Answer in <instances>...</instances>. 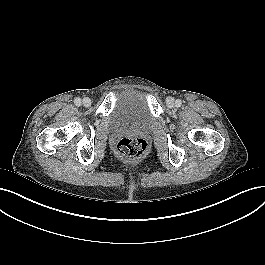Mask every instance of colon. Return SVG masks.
Here are the masks:
<instances>
[{"mask_svg": "<svg viewBox=\"0 0 265 265\" xmlns=\"http://www.w3.org/2000/svg\"><path fill=\"white\" fill-rule=\"evenodd\" d=\"M117 155L125 159H140L148 153V143L140 137H124L115 145Z\"/></svg>", "mask_w": 265, "mask_h": 265, "instance_id": "colon-1", "label": "colon"}]
</instances>
